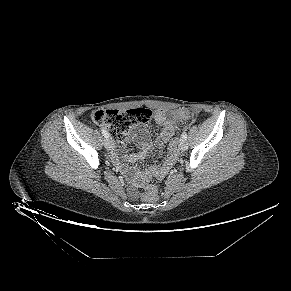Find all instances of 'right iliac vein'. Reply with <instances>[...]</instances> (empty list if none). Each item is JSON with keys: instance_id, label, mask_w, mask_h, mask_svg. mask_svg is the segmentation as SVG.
I'll use <instances>...</instances> for the list:
<instances>
[{"instance_id": "obj_1", "label": "right iliac vein", "mask_w": 291, "mask_h": 291, "mask_svg": "<svg viewBox=\"0 0 291 291\" xmlns=\"http://www.w3.org/2000/svg\"><path fill=\"white\" fill-rule=\"evenodd\" d=\"M104 146L108 150H112L114 148V144L109 138L104 141Z\"/></svg>"}]
</instances>
